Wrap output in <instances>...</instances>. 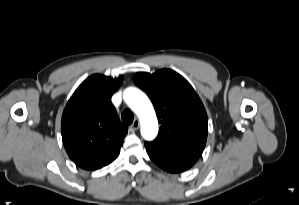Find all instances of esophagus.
I'll return each mask as SVG.
<instances>
[{
  "label": "esophagus",
  "mask_w": 299,
  "mask_h": 205,
  "mask_svg": "<svg viewBox=\"0 0 299 205\" xmlns=\"http://www.w3.org/2000/svg\"><path fill=\"white\" fill-rule=\"evenodd\" d=\"M139 125H140L139 120H138V119H135V120L133 121V123L131 124L130 129H131L132 131H136V130L139 128Z\"/></svg>",
  "instance_id": "1"
}]
</instances>
